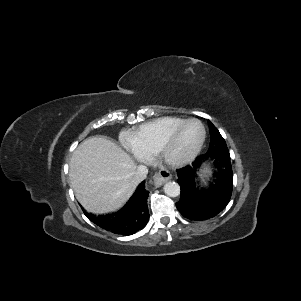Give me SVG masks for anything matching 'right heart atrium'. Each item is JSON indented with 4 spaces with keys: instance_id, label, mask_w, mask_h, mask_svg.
<instances>
[{
    "instance_id": "right-heart-atrium-1",
    "label": "right heart atrium",
    "mask_w": 301,
    "mask_h": 301,
    "mask_svg": "<svg viewBox=\"0 0 301 301\" xmlns=\"http://www.w3.org/2000/svg\"><path fill=\"white\" fill-rule=\"evenodd\" d=\"M124 146H125V147L133 154V156H134L137 160L143 161V162H145V161L148 160L149 156H147V155H145V154L140 153L139 151H137V150L131 145V143H130L128 140L124 141Z\"/></svg>"
}]
</instances>
